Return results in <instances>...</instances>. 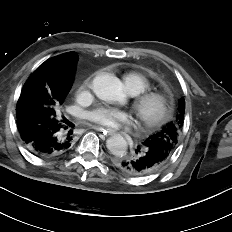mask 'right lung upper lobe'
<instances>
[{
  "label": "right lung upper lobe",
  "instance_id": "1",
  "mask_svg": "<svg viewBox=\"0 0 232 232\" xmlns=\"http://www.w3.org/2000/svg\"><path fill=\"white\" fill-rule=\"evenodd\" d=\"M77 61L78 55L76 52H67L46 60L34 71V73L47 70L50 74L63 75L72 82Z\"/></svg>",
  "mask_w": 232,
  "mask_h": 232
}]
</instances>
